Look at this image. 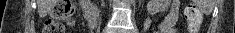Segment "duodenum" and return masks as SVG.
Returning a JSON list of instances; mask_svg holds the SVG:
<instances>
[{
	"label": "duodenum",
	"instance_id": "1",
	"mask_svg": "<svg viewBox=\"0 0 235 33\" xmlns=\"http://www.w3.org/2000/svg\"><path fill=\"white\" fill-rule=\"evenodd\" d=\"M88 23L93 28L97 24V9L95 7H91L88 10Z\"/></svg>",
	"mask_w": 235,
	"mask_h": 33
}]
</instances>
